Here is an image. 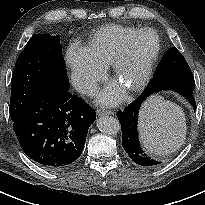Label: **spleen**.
<instances>
[{"mask_svg":"<svg viewBox=\"0 0 205 205\" xmlns=\"http://www.w3.org/2000/svg\"><path fill=\"white\" fill-rule=\"evenodd\" d=\"M139 134L143 145L156 155L175 152L186 139V118L175 103L155 97L139 113Z\"/></svg>","mask_w":205,"mask_h":205,"instance_id":"spleen-1","label":"spleen"}]
</instances>
